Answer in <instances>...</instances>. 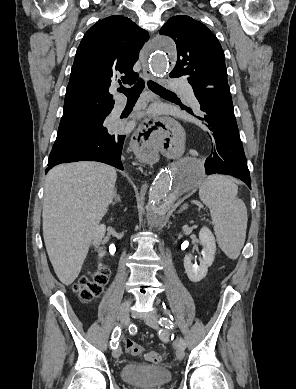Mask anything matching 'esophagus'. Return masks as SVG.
Listing matches in <instances>:
<instances>
[{"instance_id":"1","label":"esophagus","mask_w":296,"mask_h":389,"mask_svg":"<svg viewBox=\"0 0 296 389\" xmlns=\"http://www.w3.org/2000/svg\"><path fill=\"white\" fill-rule=\"evenodd\" d=\"M142 72L147 80H152L151 74L146 59L143 53L140 54ZM152 112L145 122H139L135 128L131 144L136 156L141 158L145 163H158L161 159V154L156 150L157 139H170L177 131L183 128L181 118L168 121H158L154 118Z\"/></svg>"}]
</instances>
